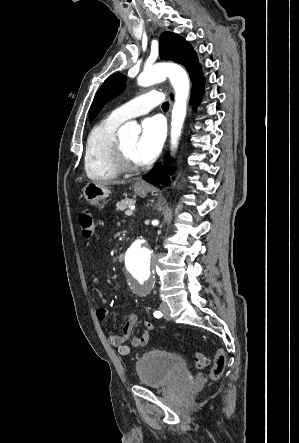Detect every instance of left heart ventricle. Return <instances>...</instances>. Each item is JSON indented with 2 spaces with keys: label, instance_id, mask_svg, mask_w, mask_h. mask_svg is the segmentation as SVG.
Listing matches in <instances>:
<instances>
[{
  "label": "left heart ventricle",
  "instance_id": "obj_1",
  "mask_svg": "<svg viewBox=\"0 0 299 443\" xmlns=\"http://www.w3.org/2000/svg\"><path fill=\"white\" fill-rule=\"evenodd\" d=\"M138 140H139L138 136H134V137H130V138H127V139H124L121 141L127 155L135 163H139V161L136 157V146H137Z\"/></svg>",
  "mask_w": 299,
  "mask_h": 443
}]
</instances>
